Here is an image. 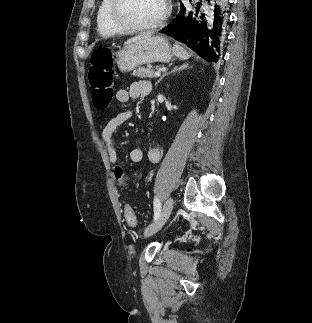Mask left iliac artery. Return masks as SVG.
Here are the masks:
<instances>
[{"label": "left iliac artery", "mask_w": 312, "mask_h": 323, "mask_svg": "<svg viewBox=\"0 0 312 323\" xmlns=\"http://www.w3.org/2000/svg\"><path fill=\"white\" fill-rule=\"evenodd\" d=\"M161 212V203L159 201V199L156 197L154 199V220H156Z\"/></svg>", "instance_id": "left-iliac-artery-1"}]
</instances>
